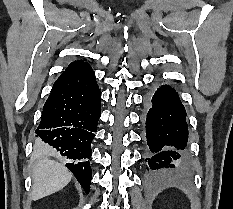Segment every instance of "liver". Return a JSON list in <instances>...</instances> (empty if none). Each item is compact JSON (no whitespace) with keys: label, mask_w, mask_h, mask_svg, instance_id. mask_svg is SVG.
<instances>
[{"label":"liver","mask_w":233,"mask_h":209,"mask_svg":"<svg viewBox=\"0 0 233 209\" xmlns=\"http://www.w3.org/2000/svg\"><path fill=\"white\" fill-rule=\"evenodd\" d=\"M32 177L31 199L36 201L61 190L70 182L72 174L60 163L42 158L35 163Z\"/></svg>","instance_id":"liver-1"}]
</instances>
